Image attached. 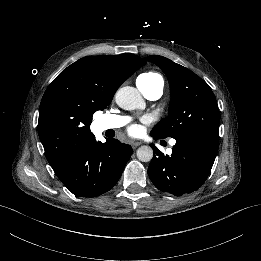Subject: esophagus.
<instances>
[{"mask_svg":"<svg viewBox=\"0 0 261 261\" xmlns=\"http://www.w3.org/2000/svg\"><path fill=\"white\" fill-rule=\"evenodd\" d=\"M142 144L141 141H138V142H133L131 145H132V148L133 149H136L138 146H140Z\"/></svg>","mask_w":261,"mask_h":261,"instance_id":"esophagus-1","label":"esophagus"}]
</instances>
